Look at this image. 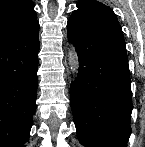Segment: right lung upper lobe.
I'll return each instance as SVG.
<instances>
[{
    "mask_svg": "<svg viewBox=\"0 0 145 147\" xmlns=\"http://www.w3.org/2000/svg\"><path fill=\"white\" fill-rule=\"evenodd\" d=\"M32 0H0V42L39 25Z\"/></svg>",
    "mask_w": 145,
    "mask_h": 147,
    "instance_id": "obj_1",
    "label": "right lung upper lobe"
}]
</instances>
